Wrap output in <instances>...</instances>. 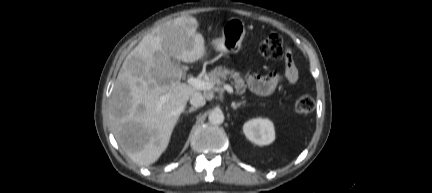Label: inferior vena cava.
Wrapping results in <instances>:
<instances>
[{
  "label": "inferior vena cava",
  "mask_w": 432,
  "mask_h": 193,
  "mask_svg": "<svg viewBox=\"0 0 432 193\" xmlns=\"http://www.w3.org/2000/svg\"><path fill=\"white\" fill-rule=\"evenodd\" d=\"M190 103L194 107H202L205 105V97L200 92H194L190 97Z\"/></svg>",
  "instance_id": "1"
}]
</instances>
